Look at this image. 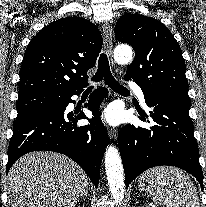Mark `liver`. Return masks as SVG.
Segmentation results:
<instances>
[{"label":"liver","mask_w":206,"mask_h":207,"mask_svg":"<svg viewBox=\"0 0 206 207\" xmlns=\"http://www.w3.org/2000/svg\"><path fill=\"white\" fill-rule=\"evenodd\" d=\"M88 177L68 157L48 151L18 159L7 176L11 207H74L84 195Z\"/></svg>","instance_id":"obj_1"}]
</instances>
